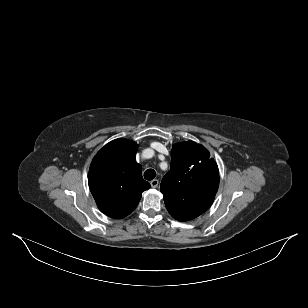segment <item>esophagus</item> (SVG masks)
<instances>
[{
  "label": "esophagus",
  "instance_id": "34e87169",
  "mask_svg": "<svg viewBox=\"0 0 308 308\" xmlns=\"http://www.w3.org/2000/svg\"><path fill=\"white\" fill-rule=\"evenodd\" d=\"M151 187L156 188L159 185V181L157 179H153L151 182Z\"/></svg>",
  "mask_w": 308,
  "mask_h": 308
}]
</instances>
